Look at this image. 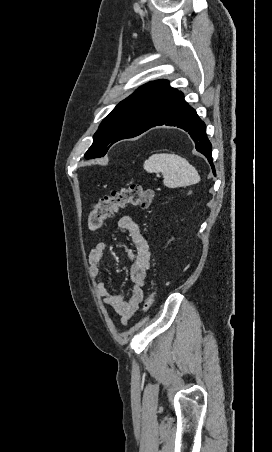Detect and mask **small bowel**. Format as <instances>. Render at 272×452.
Masks as SVG:
<instances>
[{"label": "small bowel", "instance_id": "small-bowel-1", "mask_svg": "<svg viewBox=\"0 0 272 452\" xmlns=\"http://www.w3.org/2000/svg\"><path fill=\"white\" fill-rule=\"evenodd\" d=\"M116 226L119 230L127 232L133 245V249L128 251V256L132 262L130 277L133 283L130 296L125 299L122 295L109 291L100 277L101 264L107 250L105 240L98 241L89 253V274L97 282L96 292L102 305L116 313L122 324H126L144 299V286L150 265V251L148 241L139 224L130 216L120 217Z\"/></svg>", "mask_w": 272, "mask_h": 452}]
</instances>
